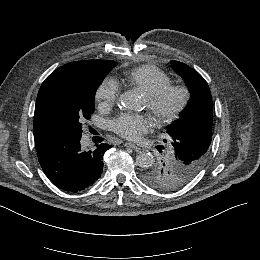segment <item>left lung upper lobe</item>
Returning <instances> with one entry per match:
<instances>
[{
    "label": "left lung upper lobe",
    "instance_id": "left-lung-upper-lobe-1",
    "mask_svg": "<svg viewBox=\"0 0 260 260\" xmlns=\"http://www.w3.org/2000/svg\"><path fill=\"white\" fill-rule=\"evenodd\" d=\"M170 63L185 80L191 98L180 119L167 127L172 152L141 173L145 183L165 191L186 185L203 167L210 152L213 122L212 97L207 82L186 64Z\"/></svg>",
    "mask_w": 260,
    "mask_h": 260
}]
</instances>
